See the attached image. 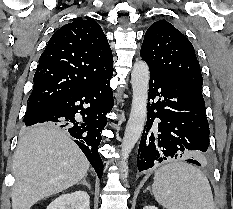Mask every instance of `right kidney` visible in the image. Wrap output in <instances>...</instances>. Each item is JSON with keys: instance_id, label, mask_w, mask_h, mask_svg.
<instances>
[{"instance_id": "obj_1", "label": "right kidney", "mask_w": 233, "mask_h": 209, "mask_svg": "<svg viewBox=\"0 0 233 209\" xmlns=\"http://www.w3.org/2000/svg\"><path fill=\"white\" fill-rule=\"evenodd\" d=\"M47 209H90V197L81 190L64 194L51 202Z\"/></svg>"}]
</instances>
